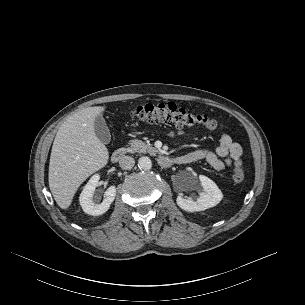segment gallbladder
I'll return each mask as SVG.
<instances>
[{
    "label": "gallbladder",
    "instance_id": "obj_1",
    "mask_svg": "<svg viewBox=\"0 0 305 305\" xmlns=\"http://www.w3.org/2000/svg\"><path fill=\"white\" fill-rule=\"evenodd\" d=\"M96 136L103 144H109L111 141V134L106 125L104 118L100 115L97 116L94 123Z\"/></svg>",
    "mask_w": 305,
    "mask_h": 305
}]
</instances>
